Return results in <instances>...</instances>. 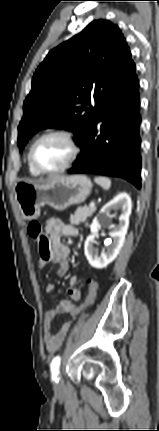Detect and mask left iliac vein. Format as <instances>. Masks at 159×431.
I'll return each instance as SVG.
<instances>
[{"instance_id": "obj_1", "label": "left iliac vein", "mask_w": 159, "mask_h": 431, "mask_svg": "<svg viewBox=\"0 0 159 431\" xmlns=\"http://www.w3.org/2000/svg\"><path fill=\"white\" fill-rule=\"evenodd\" d=\"M58 381H55L54 383V389L56 392H60L63 389V380L61 378V376H59Z\"/></svg>"}]
</instances>
